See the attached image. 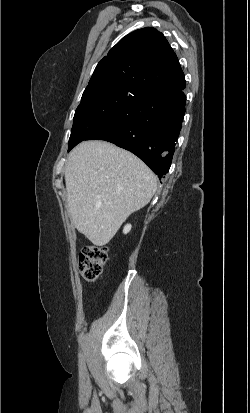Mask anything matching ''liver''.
<instances>
[{
	"label": "liver",
	"instance_id": "liver-1",
	"mask_svg": "<svg viewBox=\"0 0 250 413\" xmlns=\"http://www.w3.org/2000/svg\"><path fill=\"white\" fill-rule=\"evenodd\" d=\"M65 183L71 223L96 246L106 245L157 189L144 162L106 141H84L70 152Z\"/></svg>",
	"mask_w": 250,
	"mask_h": 413
}]
</instances>
